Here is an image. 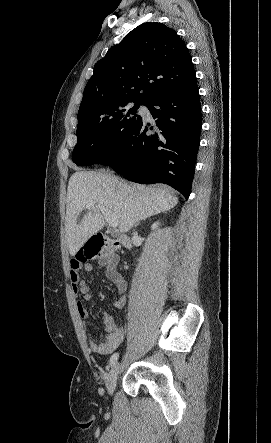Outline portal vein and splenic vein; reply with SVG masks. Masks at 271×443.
Instances as JSON below:
<instances>
[{
  "label": "portal vein and splenic vein",
  "instance_id": "18ae733b",
  "mask_svg": "<svg viewBox=\"0 0 271 443\" xmlns=\"http://www.w3.org/2000/svg\"><path fill=\"white\" fill-rule=\"evenodd\" d=\"M86 208L87 210H93V208H98L101 214H103L106 222L109 223L111 227H117L118 225L117 218H115L113 212H110V210H106L105 206H101V204H96V206H94V204H87Z\"/></svg>",
  "mask_w": 271,
  "mask_h": 443
}]
</instances>
